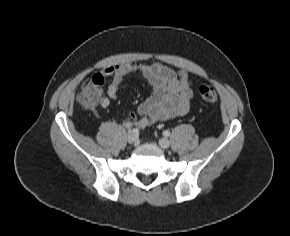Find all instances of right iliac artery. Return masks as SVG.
<instances>
[{
  "label": "right iliac artery",
  "mask_w": 290,
  "mask_h": 236,
  "mask_svg": "<svg viewBox=\"0 0 290 236\" xmlns=\"http://www.w3.org/2000/svg\"><path fill=\"white\" fill-rule=\"evenodd\" d=\"M132 133L135 134V135H137V134L139 133V130H138L137 128H134V129L132 130Z\"/></svg>",
  "instance_id": "82829eb1"
}]
</instances>
